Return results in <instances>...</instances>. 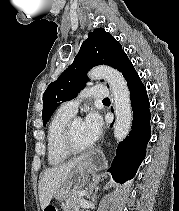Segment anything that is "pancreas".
<instances>
[{
  "label": "pancreas",
  "instance_id": "1",
  "mask_svg": "<svg viewBox=\"0 0 179 211\" xmlns=\"http://www.w3.org/2000/svg\"><path fill=\"white\" fill-rule=\"evenodd\" d=\"M80 191L70 193L61 204L64 211H79L80 202L84 200L83 196L79 195Z\"/></svg>",
  "mask_w": 179,
  "mask_h": 211
}]
</instances>
